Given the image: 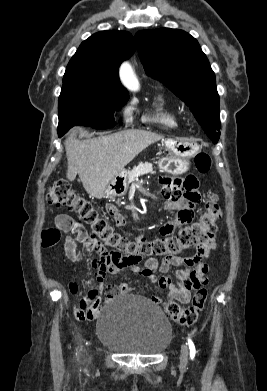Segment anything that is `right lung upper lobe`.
Returning a JSON list of instances; mask_svg holds the SVG:
<instances>
[{"mask_svg": "<svg viewBox=\"0 0 267 391\" xmlns=\"http://www.w3.org/2000/svg\"><path fill=\"white\" fill-rule=\"evenodd\" d=\"M134 47L129 32H97L81 43L67 65L63 80L93 78L126 90L120 83L118 68L124 59L130 57Z\"/></svg>", "mask_w": 267, "mask_h": 391, "instance_id": "right-lung-upper-lobe-1", "label": "right lung upper lobe"}]
</instances>
